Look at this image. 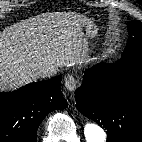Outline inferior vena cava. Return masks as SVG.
<instances>
[{
  "instance_id": "602c4592",
  "label": "inferior vena cava",
  "mask_w": 142,
  "mask_h": 142,
  "mask_svg": "<svg viewBox=\"0 0 142 142\" xmlns=\"http://www.w3.org/2000/svg\"><path fill=\"white\" fill-rule=\"evenodd\" d=\"M57 68L55 66L52 65H44L39 67L36 71H35V75L38 78H47V77H51L54 74H56L57 72Z\"/></svg>"
}]
</instances>
